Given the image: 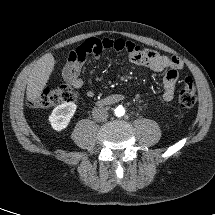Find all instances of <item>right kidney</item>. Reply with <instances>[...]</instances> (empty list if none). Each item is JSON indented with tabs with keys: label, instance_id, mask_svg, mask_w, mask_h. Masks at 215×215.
Listing matches in <instances>:
<instances>
[{
	"label": "right kidney",
	"instance_id": "obj_1",
	"mask_svg": "<svg viewBox=\"0 0 215 215\" xmlns=\"http://www.w3.org/2000/svg\"><path fill=\"white\" fill-rule=\"evenodd\" d=\"M76 109V104L72 102L63 103L54 108L48 119L51 127L56 131L64 130L69 125Z\"/></svg>",
	"mask_w": 215,
	"mask_h": 215
}]
</instances>
